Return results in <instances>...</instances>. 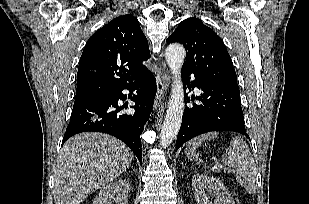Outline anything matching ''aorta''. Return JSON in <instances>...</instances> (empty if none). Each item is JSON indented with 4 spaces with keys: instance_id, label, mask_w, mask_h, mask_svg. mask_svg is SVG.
I'll return each instance as SVG.
<instances>
[{
    "instance_id": "1",
    "label": "aorta",
    "mask_w": 309,
    "mask_h": 204,
    "mask_svg": "<svg viewBox=\"0 0 309 204\" xmlns=\"http://www.w3.org/2000/svg\"><path fill=\"white\" fill-rule=\"evenodd\" d=\"M186 52L181 44H170L165 51L166 62L173 75L171 97L160 134V144L163 148L169 146L179 132L184 113V89L181 79V69Z\"/></svg>"
}]
</instances>
